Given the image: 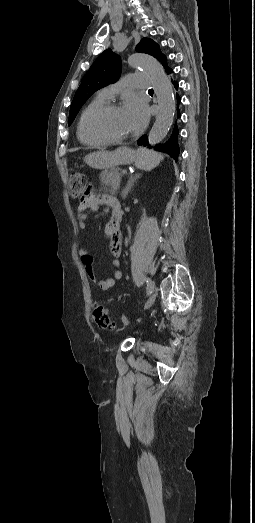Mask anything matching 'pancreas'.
I'll return each mask as SVG.
<instances>
[{
  "instance_id": "cf45deb5",
  "label": "pancreas",
  "mask_w": 255,
  "mask_h": 523,
  "mask_svg": "<svg viewBox=\"0 0 255 523\" xmlns=\"http://www.w3.org/2000/svg\"><path fill=\"white\" fill-rule=\"evenodd\" d=\"M122 176L120 170H108V172H102V174H100V180L104 186H108L107 192L117 194Z\"/></svg>"
}]
</instances>
